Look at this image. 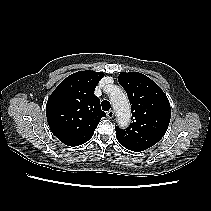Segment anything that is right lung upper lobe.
I'll use <instances>...</instances> for the list:
<instances>
[{
	"mask_svg": "<svg viewBox=\"0 0 211 211\" xmlns=\"http://www.w3.org/2000/svg\"><path fill=\"white\" fill-rule=\"evenodd\" d=\"M104 73L76 72L64 79L48 98L46 116L52 133L65 145L79 146L94 134L100 119L106 116L100 108L95 87Z\"/></svg>",
	"mask_w": 211,
	"mask_h": 211,
	"instance_id": "right-lung-upper-lobe-1",
	"label": "right lung upper lobe"
}]
</instances>
